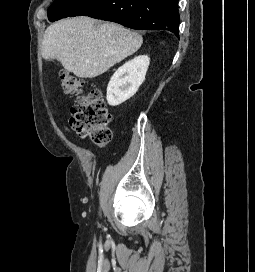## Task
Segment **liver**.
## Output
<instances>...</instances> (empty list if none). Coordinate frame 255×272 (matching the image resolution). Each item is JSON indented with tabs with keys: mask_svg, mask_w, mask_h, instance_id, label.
Returning a JSON list of instances; mask_svg holds the SVG:
<instances>
[{
	"mask_svg": "<svg viewBox=\"0 0 255 272\" xmlns=\"http://www.w3.org/2000/svg\"><path fill=\"white\" fill-rule=\"evenodd\" d=\"M74 17L50 25L42 42V57L57 59L77 77L93 78L133 54L142 36L116 23Z\"/></svg>",
	"mask_w": 255,
	"mask_h": 272,
	"instance_id": "1",
	"label": "liver"
}]
</instances>
